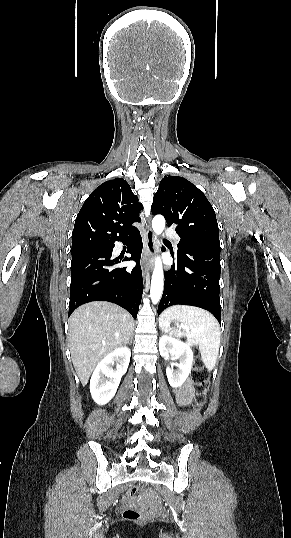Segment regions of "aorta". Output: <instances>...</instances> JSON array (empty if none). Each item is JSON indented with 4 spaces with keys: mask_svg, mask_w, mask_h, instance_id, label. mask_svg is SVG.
I'll use <instances>...</instances> for the list:
<instances>
[{
    "mask_svg": "<svg viewBox=\"0 0 291 538\" xmlns=\"http://www.w3.org/2000/svg\"><path fill=\"white\" fill-rule=\"evenodd\" d=\"M152 228L159 235L165 228V219L161 215H156L152 220ZM164 286V273L160 258L155 261V267L152 274L150 297L154 304H157L162 296Z\"/></svg>",
    "mask_w": 291,
    "mask_h": 538,
    "instance_id": "obj_1",
    "label": "aorta"
}]
</instances>
